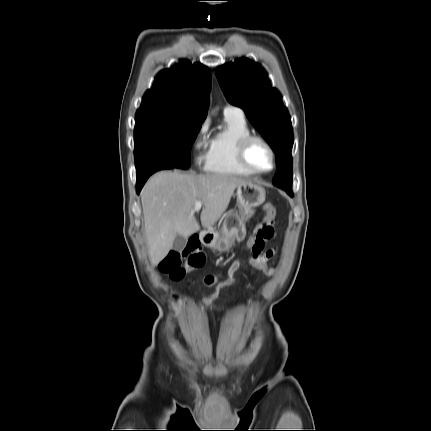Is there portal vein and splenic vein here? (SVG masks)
<instances>
[{"label":"portal vein and splenic vein","instance_id":"18ae733b","mask_svg":"<svg viewBox=\"0 0 431 431\" xmlns=\"http://www.w3.org/2000/svg\"><path fill=\"white\" fill-rule=\"evenodd\" d=\"M202 207V202L201 201H197L195 206H194V210L195 211H199Z\"/></svg>","mask_w":431,"mask_h":431}]
</instances>
